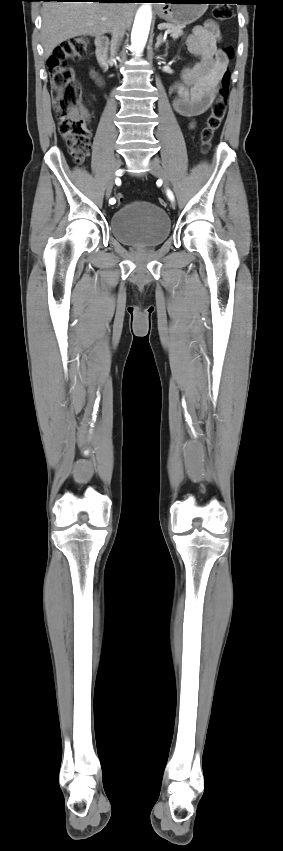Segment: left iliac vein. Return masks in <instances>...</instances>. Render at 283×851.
<instances>
[{
  "label": "left iliac vein",
  "mask_w": 283,
  "mask_h": 851,
  "mask_svg": "<svg viewBox=\"0 0 283 851\" xmlns=\"http://www.w3.org/2000/svg\"><path fill=\"white\" fill-rule=\"evenodd\" d=\"M148 168H149V171H150V173H151L152 175H154V176H156V177L160 178V179L163 181L164 188H165L167 191H170V183H169V180H168L167 174H166V172L164 171V169L161 167V165L159 164V162H158L157 160H155V159H151V160L149 161ZM171 206H172L173 208L175 207V202H174V200H173V199H171Z\"/></svg>",
  "instance_id": "4c4485c4"
}]
</instances>
